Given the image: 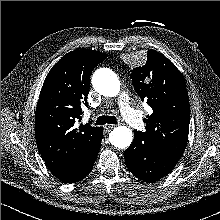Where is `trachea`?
Listing matches in <instances>:
<instances>
[{
  "label": "trachea",
  "instance_id": "3493384b",
  "mask_svg": "<svg viewBox=\"0 0 220 220\" xmlns=\"http://www.w3.org/2000/svg\"><path fill=\"white\" fill-rule=\"evenodd\" d=\"M104 124H117V119L115 116H99L96 120V125H104Z\"/></svg>",
  "mask_w": 220,
  "mask_h": 220
}]
</instances>
